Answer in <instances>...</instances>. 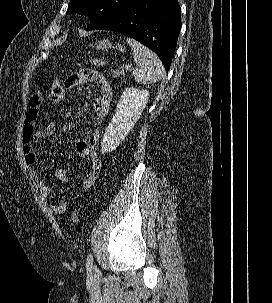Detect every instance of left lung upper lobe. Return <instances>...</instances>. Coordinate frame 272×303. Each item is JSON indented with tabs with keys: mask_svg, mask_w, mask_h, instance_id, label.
Segmentation results:
<instances>
[{
	"mask_svg": "<svg viewBox=\"0 0 272 303\" xmlns=\"http://www.w3.org/2000/svg\"><path fill=\"white\" fill-rule=\"evenodd\" d=\"M138 1L139 0H70L67 13H85L91 19V24L87 30H94Z\"/></svg>",
	"mask_w": 272,
	"mask_h": 303,
	"instance_id": "left-lung-upper-lobe-1",
	"label": "left lung upper lobe"
}]
</instances>
